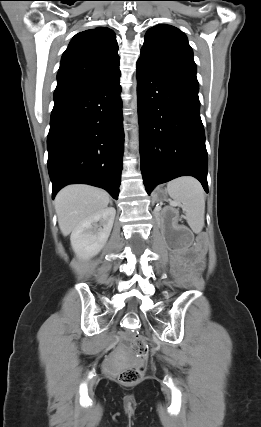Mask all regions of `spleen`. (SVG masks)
Here are the masks:
<instances>
[{"mask_svg":"<svg viewBox=\"0 0 261 427\" xmlns=\"http://www.w3.org/2000/svg\"><path fill=\"white\" fill-rule=\"evenodd\" d=\"M167 192L182 207L192 231L199 234L204 227L205 196L201 184L192 177H181L167 184Z\"/></svg>","mask_w":261,"mask_h":427,"instance_id":"obj_1","label":"spleen"}]
</instances>
